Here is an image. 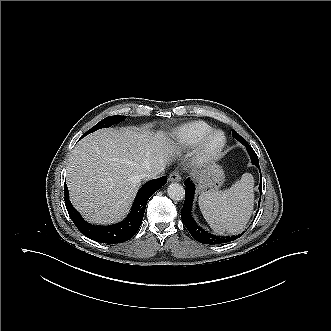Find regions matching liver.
Segmentation results:
<instances>
[{"instance_id": "liver-1", "label": "liver", "mask_w": 331, "mask_h": 331, "mask_svg": "<svg viewBox=\"0 0 331 331\" xmlns=\"http://www.w3.org/2000/svg\"><path fill=\"white\" fill-rule=\"evenodd\" d=\"M176 153L162 131L149 136L136 128L98 130L83 138L69 157L70 200L91 223L119 221L131 207L141 175L165 168Z\"/></svg>"}]
</instances>
